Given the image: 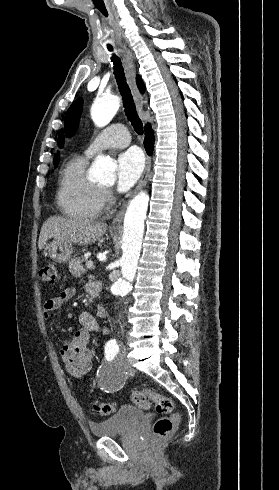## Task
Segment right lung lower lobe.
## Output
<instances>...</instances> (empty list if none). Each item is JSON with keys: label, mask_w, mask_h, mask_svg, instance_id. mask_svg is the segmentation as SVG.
Masks as SVG:
<instances>
[{"label": "right lung lower lobe", "mask_w": 279, "mask_h": 490, "mask_svg": "<svg viewBox=\"0 0 279 490\" xmlns=\"http://www.w3.org/2000/svg\"><path fill=\"white\" fill-rule=\"evenodd\" d=\"M145 135L146 136L144 139V146L146 148L147 153L151 155L154 148V137L150 124L145 126Z\"/></svg>", "instance_id": "right-lung-lower-lobe-1"}]
</instances>
